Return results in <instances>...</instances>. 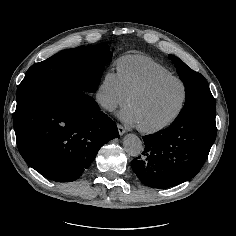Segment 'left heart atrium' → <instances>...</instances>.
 <instances>
[{
  "label": "left heart atrium",
  "instance_id": "39dd6f15",
  "mask_svg": "<svg viewBox=\"0 0 236 236\" xmlns=\"http://www.w3.org/2000/svg\"><path fill=\"white\" fill-rule=\"evenodd\" d=\"M119 117L121 120H123L124 122H126L128 124H136L137 123L135 113L130 107L121 111L119 113Z\"/></svg>",
  "mask_w": 236,
  "mask_h": 236
}]
</instances>
